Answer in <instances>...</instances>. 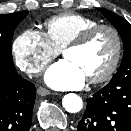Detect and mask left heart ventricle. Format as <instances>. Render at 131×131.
Segmentation results:
<instances>
[{
  "mask_svg": "<svg viewBox=\"0 0 131 131\" xmlns=\"http://www.w3.org/2000/svg\"><path fill=\"white\" fill-rule=\"evenodd\" d=\"M115 51V39L111 32L101 30L88 43L64 54L65 59L74 62L86 79L101 74L111 63Z\"/></svg>",
  "mask_w": 131,
  "mask_h": 131,
  "instance_id": "b2bd125f",
  "label": "left heart ventricle"
}]
</instances>
